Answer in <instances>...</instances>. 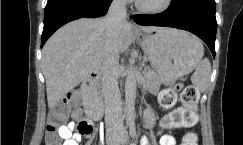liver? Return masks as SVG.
I'll list each match as a JSON object with an SVG mask.
<instances>
[{
	"label": "liver",
	"instance_id": "1",
	"mask_svg": "<svg viewBox=\"0 0 243 145\" xmlns=\"http://www.w3.org/2000/svg\"><path fill=\"white\" fill-rule=\"evenodd\" d=\"M158 29L160 27H141L146 33ZM132 42V25L124 22L116 40L118 53L126 51ZM109 43L105 18L72 21L50 37L42 50V68L50 109L56 107L68 91L103 63Z\"/></svg>",
	"mask_w": 243,
	"mask_h": 145
}]
</instances>
